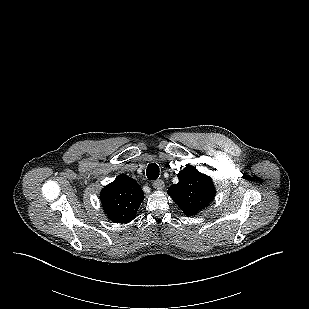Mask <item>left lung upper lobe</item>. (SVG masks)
Masks as SVG:
<instances>
[{"mask_svg": "<svg viewBox=\"0 0 309 309\" xmlns=\"http://www.w3.org/2000/svg\"><path fill=\"white\" fill-rule=\"evenodd\" d=\"M179 182L169 187L168 193L185 215H195L215 197L211 178L196 168L187 166L178 173Z\"/></svg>", "mask_w": 309, "mask_h": 309, "instance_id": "5c2ea615", "label": "left lung upper lobe"}]
</instances>
